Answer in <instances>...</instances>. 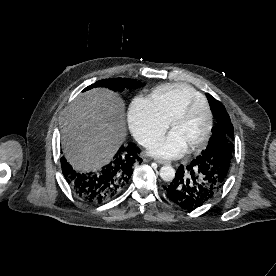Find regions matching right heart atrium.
<instances>
[{
  "label": "right heart atrium",
  "instance_id": "1",
  "mask_svg": "<svg viewBox=\"0 0 276 276\" xmlns=\"http://www.w3.org/2000/svg\"><path fill=\"white\" fill-rule=\"evenodd\" d=\"M129 125L135 138L148 147L167 130L166 121L150 99L136 97L129 108Z\"/></svg>",
  "mask_w": 276,
  "mask_h": 276
}]
</instances>
